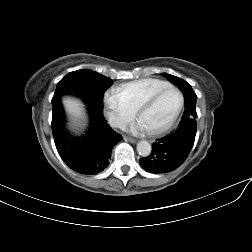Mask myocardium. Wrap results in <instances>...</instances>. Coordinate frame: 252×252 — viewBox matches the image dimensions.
<instances>
[{"mask_svg":"<svg viewBox=\"0 0 252 252\" xmlns=\"http://www.w3.org/2000/svg\"><path fill=\"white\" fill-rule=\"evenodd\" d=\"M167 91H174L175 93H177V95L179 96L178 106L175 109V111L173 112V114L170 116V118L167 120L166 123H164L160 127L147 130L148 133L151 135L163 134L164 132H166L167 130H169L173 126V124L175 123L176 119L178 118V116L183 108V105H184V96H183L182 92L179 89H177L176 87L168 86V87L161 89L158 92L154 93L150 97H148L136 109V115L139 117L140 114L144 110L151 107Z\"/></svg>","mask_w":252,"mask_h":252,"instance_id":"f54148a6","label":"myocardium"}]
</instances>
